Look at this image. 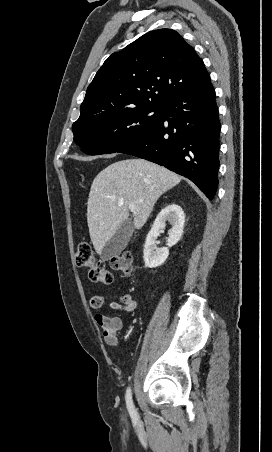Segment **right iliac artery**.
I'll list each match as a JSON object with an SVG mask.
<instances>
[{"mask_svg": "<svg viewBox=\"0 0 272 452\" xmlns=\"http://www.w3.org/2000/svg\"><path fill=\"white\" fill-rule=\"evenodd\" d=\"M126 404H127V408L129 411V414L131 416L132 419H137V412L135 410L133 401H132V393H131V389L128 388L127 392H126Z\"/></svg>", "mask_w": 272, "mask_h": 452, "instance_id": "1", "label": "right iliac artery"}]
</instances>
